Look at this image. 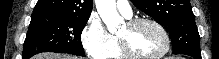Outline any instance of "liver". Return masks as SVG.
I'll list each match as a JSON object with an SVG mask.
<instances>
[{"mask_svg": "<svg viewBox=\"0 0 219 59\" xmlns=\"http://www.w3.org/2000/svg\"><path fill=\"white\" fill-rule=\"evenodd\" d=\"M33 59H79V58L65 54L42 53L34 56Z\"/></svg>", "mask_w": 219, "mask_h": 59, "instance_id": "liver-1", "label": "liver"}]
</instances>
